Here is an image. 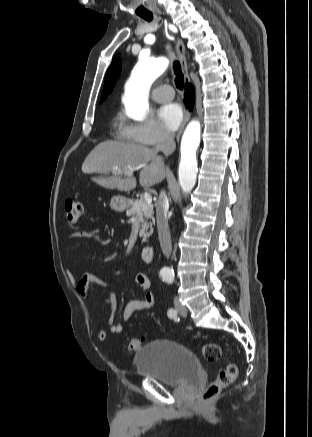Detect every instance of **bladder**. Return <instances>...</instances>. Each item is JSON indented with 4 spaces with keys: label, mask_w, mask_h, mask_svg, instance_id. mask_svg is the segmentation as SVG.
Returning <instances> with one entry per match:
<instances>
[{
    "label": "bladder",
    "mask_w": 312,
    "mask_h": 437,
    "mask_svg": "<svg viewBox=\"0 0 312 437\" xmlns=\"http://www.w3.org/2000/svg\"><path fill=\"white\" fill-rule=\"evenodd\" d=\"M134 365L141 377L169 385H179L201 372L193 351L167 339L153 340L140 348Z\"/></svg>",
    "instance_id": "bladder-1"
}]
</instances>
